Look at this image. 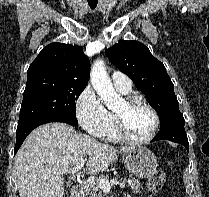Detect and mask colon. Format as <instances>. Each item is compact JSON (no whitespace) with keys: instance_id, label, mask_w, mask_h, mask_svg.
Wrapping results in <instances>:
<instances>
[{"instance_id":"colon-1","label":"colon","mask_w":209,"mask_h":197,"mask_svg":"<svg viewBox=\"0 0 209 197\" xmlns=\"http://www.w3.org/2000/svg\"><path fill=\"white\" fill-rule=\"evenodd\" d=\"M166 181V175L162 171L154 172L148 180L147 189L149 192L154 193L159 191Z\"/></svg>"}]
</instances>
